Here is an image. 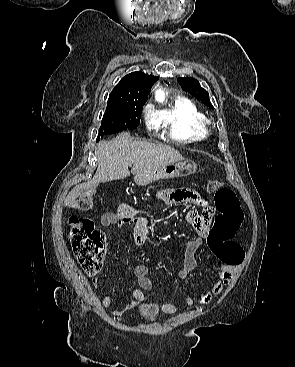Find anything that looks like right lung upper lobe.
Wrapping results in <instances>:
<instances>
[{
	"instance_id": "obj_1",
	"label": "right lung upper lobe",
	"mask_w": 295,
	"mask_h": 367,
	"mask_svg": "<svg viewBox=\"0 0 295 367\" xmlns=\"http://www.w3.org/2000/svg\"><path fill=\"white\" fill-rule=\"evenodd\" d=\"M158 77L143 72L124 76L109 95L108 103L146 102L152 85Z\"/></svg>"
}]
</instances>
